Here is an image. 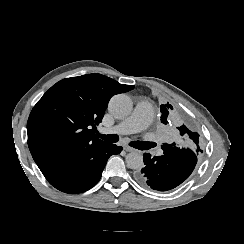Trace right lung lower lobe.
Here are the masks:
<instances>
[{"label":"right lung lower lobe","instance_id":"obj_1","mask_svg":"<svg viewBox=\"0 0 244 244\" xmlns=\"http://www.w3.org/2000/svg\"><path fill=\"white\" fill-rule=\"evenodd\" d=\"M122 147L96 143L37 163L51 185L70 194L92 188L100 179L108 158Z\"/></svg>","mask_w":244,"mask_h":244}]
</instances>
